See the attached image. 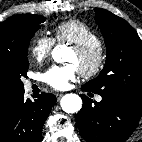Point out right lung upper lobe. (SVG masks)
Wrapping results in <instances>:
<instances>
[{
    "label": "right lung upper lobe",
    "instance_id": "1",
    "mask_svg": "<svg viewBox=\"0 0 142 142\" xmlns=\"http://www.w3.org/2000/svg\"><path fill=\"white\" fill-rule=\"evenodd\" d=\"M29 14L15 15L0 24V49L14 40ZM21 92L0 89V121L8 107Z\"/></svg>",
    "mask_w": 142,
    "mask_h": 142
}]
</instances>
